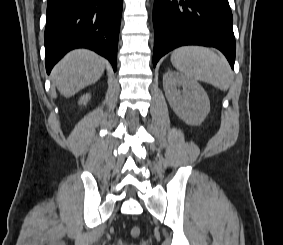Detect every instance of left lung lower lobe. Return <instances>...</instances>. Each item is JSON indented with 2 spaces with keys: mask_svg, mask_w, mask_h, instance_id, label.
<instances>
[{
  "mask_svg": "<svg viewBox=\"0 0 283 245\" xmlns=\"http://www.w3.org/2000/svg\"><path fill=\"white\" fill-rule=\"evenodd\" d=\"M232 23L228 0H155L153 66L174 48L202 45L222 51L234 69Z\"/></svg>",
  "mask_w": 283,
  "mask_h": 245,
  "instance_id": "0a47b994",
  "label": "left lung lower lobe"
}]
</instances>
